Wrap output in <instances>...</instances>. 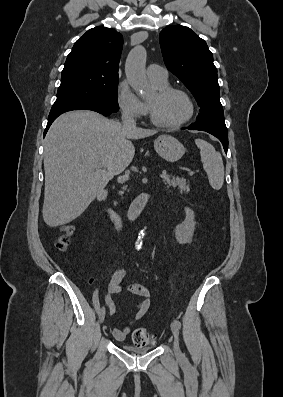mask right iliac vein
<instances>
[{"label":"right iliac vein","mask_w":283,"mask_h":397,"mask_svg":"<svg viewBox=\"0 0 283 397\" xmlns=\"http://www.w3.org/2000/svg\"><path fill=\"white\" fill-rule=\"evenodd\" d=\"M104 318H105V308L102 307L99 312V321L102 323L104 321Z\"/></svg>","instance_id":"63e3f726"}]
</instances>
